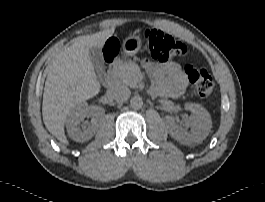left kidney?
<instances>
[{
    "label": "left kidney",
    "mask_w": 265,
    "mask_h": 202,
    "mask_svg": "<svg viewBox=\"0 0 265 202\" xmlns=\"http://www.w3.org/2000/svg\"><path fill=\"white\" fill-rule=\"evenodd\" d=\"M185 109L192 112L190 116L191 130L183 128L172 116H166L165 122L171 137L184 145L201 143L209 134L212 121L209 112L199 104L186 103Z\"/></svg>",
    "instance_id": "1"
}]
</instances>
